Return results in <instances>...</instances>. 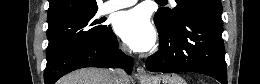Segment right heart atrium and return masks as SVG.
Returning <instances> with one entry per match:
<instances>
[{
    "label": "right heart atrium",
    "mask_w": 260,
    "mask_h": 84,
    "mask_svg": "<svg viewBox=\"0 0 260 84\" xmlns=\"http://www.w3.org/2000/svg\"><path fill=\"white\" fill-rule=\"evenodd\" d=\"M121 51H124V48L123 47H120Z\"/></svg>",
    "instance_id": "right-heart-atrium-1"
}]
</instances>
